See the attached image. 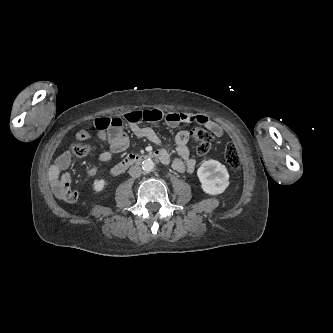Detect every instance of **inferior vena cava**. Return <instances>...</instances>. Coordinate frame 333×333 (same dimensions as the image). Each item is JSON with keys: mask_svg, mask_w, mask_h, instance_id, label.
Here are the masks:
<instances>
[{"mask_svg": "<svg viewBox=\"0 0 333 333\" xmlns=\"http://www.w3.org/2000/svg\"><path fill=\"white\" fill-rule=\"evenodd\" d=\"M129 174H130V176H132L134 178L140 177L142 174V169L140 166H132L129 169Z\"/></svg>", "mask_w": 333, "mask_h": 333, "instance_id": "inferior-vena-cava-1", "label": "inferior vena cava"}]
</instances>
